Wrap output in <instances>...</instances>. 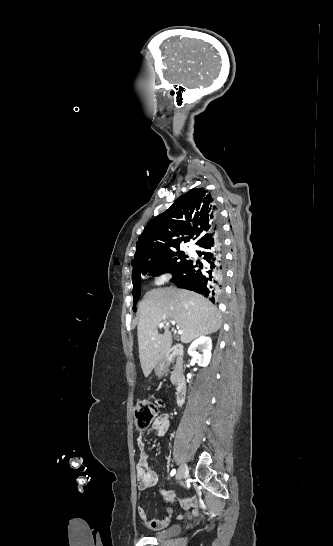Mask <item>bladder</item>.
Returning <instances> with one entry per match:
<instances>
[{
	"mask_svg": "<svg viewBox=\"0 0 333 546\" xmlns=\"http://www.w3.org/2000/svg\"><path fill=\"white\" fill-rule=\"evenodd\" d=\"M179 531H180V526L177 524H174L163 530L151 533V536L156 538H167V537H171L178 534Z\"/></svg>",
	"mask_w": 333,
	"mask_h": 546,
	"instance_id": "obj_1",
	"label": "bladder"
}]
</instances>
